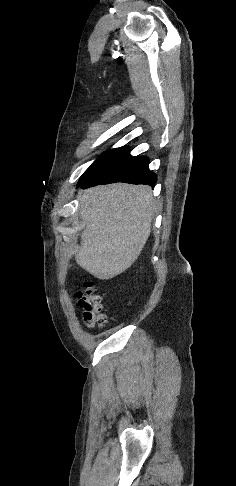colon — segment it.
<instances>
[{
  "instance_id": "5ec220e1",
  "label": "colon",
  "mask_w": 236,
  "mask_h": 486,
  "mask_svg": "<svg viewBox=\"0 0 236 486\" xmlns=\"http://www.w3.org/2000/svg\"><path fill=\"white\" fill-rule=\"evenodd\" d=\"M76 297L83 311L84 323L88 327L105 326L107 317L102 311L101 297L94 292L92 282H86Z\"/></svg>"
}]
</instances>
